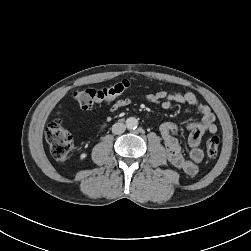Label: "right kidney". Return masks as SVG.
<instances>
[{
	"mask_svg": "<svg viewBox=\"0 0 251 251\" xmlns=\"http://www.w3.org/2000/svg\"><path fill=\"white\" fill-rule=\"evenodd\" d=\"M86 157H87V154H86V153H82V154L80 155V159H81V160L85 159Z\"/></svg>",
	"mask_w": 251,
	"mask_h": 251,
	"instance_id": "obj_1",
	"label": "right kidney"
}]
</instances>
